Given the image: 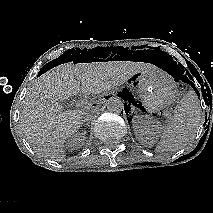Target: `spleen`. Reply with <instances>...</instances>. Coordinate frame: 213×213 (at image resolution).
Wrapping results in <instances>:
<instances>
[{"instance_id":"spleen-1","label":"spleen","mask_w":213,"mask_h":213,"mask_svg":"<svg viewBox=\"0 0 213 213\" xmlns=\"http://www.w3.org/2000/svg\"><path fill=\"white\" fill-rule=\"evenodd\" d=\"M201 113L197 94L194 90H189L176 105L174 115L163 127L156 152L177 151L194 139L202 122Z\"/></svg>"}]
</instances>
